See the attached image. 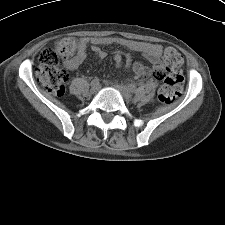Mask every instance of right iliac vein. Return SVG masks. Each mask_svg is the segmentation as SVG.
Returning a JSON list of instances; mask_svg holds the SVG:
<instances>
[{
	"label": "right iliac vein",
	"instance_id": "obj_1",
	"mask_svg": "<svg viewBox=\"0 0 225 225\" xmlns=\"http://www.w3.org/2000/svg\"><path fill=\"white\" fill-rule=\"evenodd\" d=\"M100 89V85L99 84H94V85H91V89H90V93L91 94H95L99 91Z\"/></svg>",
	"mask_w": 225,
	"mask_h": 225
}]
</instances>
